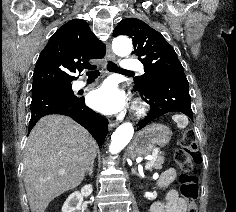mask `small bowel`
Wrapping results in <instances>:
<instances>
[{
    "mask_svg": "<svg viewBox=\"0 0 236 212\" xmlns=\"http://www.w3.org/2000/svg\"><path fill=\"white\" fill-rule=\"evenodd\" d=\"M176 177L173 169L166 170L160 177V184L163 186L171 184ZM187 203L178 196L175 190H170L164 202H156L151 207V212H186Z\"/></svg>",
    "mask_w": 236,
    "mask_h": 212,
    "instance_id": "small-bowel-1",
    "label": "small bowel"
}]
</instances>
